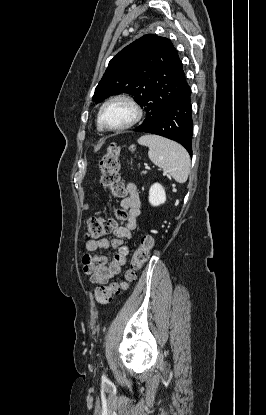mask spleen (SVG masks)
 Here are the masks:
<instances>
[{
  "instance_id": "spleen-1",
  "label": "spleen",
  "mask_w": 266,
  "mask_h": 415,
  "mask_svg": "<svg viewBox=\"0 0 266 415\" xmlns=\"http://www.w3.org/2000/svg\"><path fill=\"white\" fill-rule=\"evenodd\" d=\"M138 143L149 147V159L176 182L182 184L187 181L190 156L180 144L158 135H144Z\"/></svg>"
}]
</instances>
